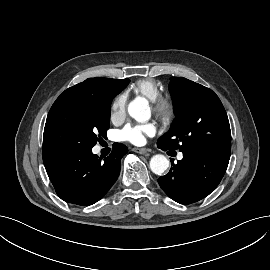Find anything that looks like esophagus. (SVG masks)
Segmentation results:
<instances>
[{
    "mask_svg": "<svg viewBox=\"0 0 270 270\" xmlns=\"http://www.w3.org/2000/svg\"><path fill=\"white\" fill-rule=\"evenodd\" d=\"M134 152L145 155V154L150 153L151 149H148V148H134Z\"/></svg>",
    "mask_w": 270,
    "mask_h": 270,
    "instance_id": "34e87169",
    "label": "esophagus"
}]
</instances>
